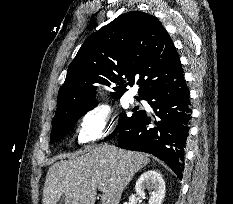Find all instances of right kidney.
<instances>
[{"label":"right kidney","instance_id":"right-kidney-1","mask_svg":"<svg viewBox=\"0 0 233 204\" xmlns=\"http://www.w3.org/2000/svg\"><path fill=\"white\" fill-rule=\"evenodd\" d=\"M145 190L149 191V204H162L165 196V182L162 175L155 170L144 172L136 182L135 192L125 204H136L137 196L144 197Z\"/></svg>","mask_w":233,"mask_h":204}]
</instances>
